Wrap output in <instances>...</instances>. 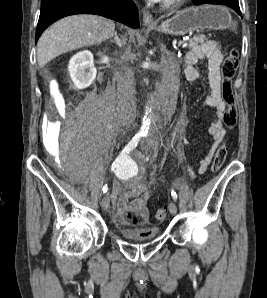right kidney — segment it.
<instances>
[{
	"mask_svg": "<svg viewBox=\"0 0 267 298\" xmlns=\"http://www.w3.org/2000/svg\"><path fill=\"white\" fill-rule=\"evenodd\" d=\"M68 71L77 89L89 87L97 74L92 53L85 50L75 54L69 61Z\"/></svg>",
	"mask_w": 267,
	"mask_h": 298,
	"instance_id": "1",
	"label": "right kidney"
}]
</instances>
